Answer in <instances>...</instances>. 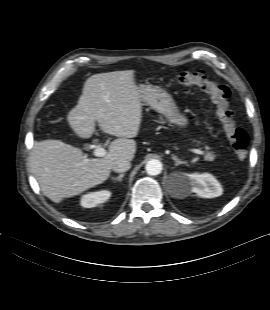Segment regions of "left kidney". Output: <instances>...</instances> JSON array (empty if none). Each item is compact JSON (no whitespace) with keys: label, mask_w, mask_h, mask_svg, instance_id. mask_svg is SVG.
Masks as SVG:
<instances>
[{"label":"left kidney","mask_w":270,"mask_h":310,"mask_svg":"<svg viewBox=\"0 0 270 310\" xmlns=\"http://www.w3.org/2000/svg\"><path fill=\"white\" fill-rule=\"evenodd\" d=\"M189 191L202 198H214L223 193L221 184L209 173L184 174L183 186L178 191V194L185 195Z\"/></svg>","instance_id":"1"}]
</instances>
